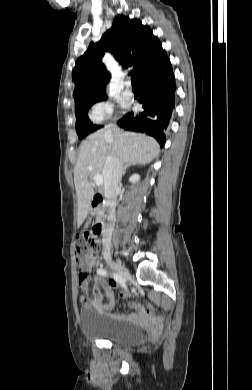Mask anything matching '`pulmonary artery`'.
Wrapping results in <instances>:
<instances>
[{
    "mask_svg": "<svg viewBox=\"0 0 252 390\" xmlns=\"http://www.w3.org/2000/svg\"><path fill=\"white\" fill-rule=\"evenodd\" d=\"M123 95L126 98H132L133 97V91L131 89V83L129 81L125 82V88L123 90Z\"/></svg>",
    "mask_w": 252,
    "mask_h": 390,
    "instance_id": "obj_1",
    "label": "pulmonary artery"
}]
</instances>
